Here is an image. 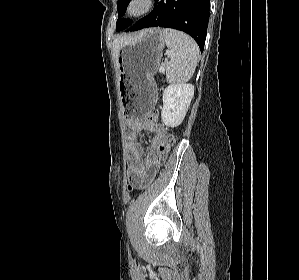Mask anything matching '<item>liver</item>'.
Returning <instances> with one entry per match:
<instances>
[{"label": "liver", "mask_w": 299, "mask_h": 280, "mask_svg": "<svg viewBox=\"0 0 299 280\" xmlns=\"http://www.w3.org/2000/svg\"><path fill=\"white\" fill-rule=\"evenodd\" d=\"M132 39H133L132 37L123 36V37H119V38H117L113 41V44H112V46H113V55H114L116 64H117V61H118V53H119L121 47L124 44L130 42Z\"/></svg>", "instance_id": "1"}]
</instances>
